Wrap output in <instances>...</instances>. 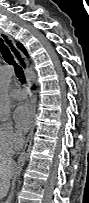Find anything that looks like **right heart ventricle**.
I'll list each match as a JSON object with an SVG mask.
<instances>
[{
    "mask_svg": "<svg viewBox=\"0 0 89 203\" xmlns=\"http://www.w3.org/2000/svg\"><path fill=\"white\" fill-rule=\"evenodd\" d=\"M14 152V151H13ZM12 151L5 148L0 141V158H6L13 154Z\"/></svg>",
    "mask_w": 89,
    "mask_h": 203,
    "instance_id": "1",
    "label": "right heart ventricle"
}]
</instances>
